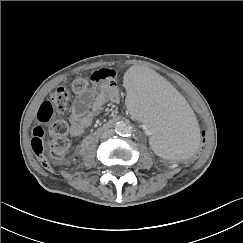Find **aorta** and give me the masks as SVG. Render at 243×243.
<instances>
[{
  "mask_svg": "<svg viewBox=\"0 0 243 243\" xmlns=\"http://www.w3.org/2000/svg\"><path fill=\"white\" fill-rule=\"evenodd\" d=\"M115 130L117 133L124 136L130 135L132 133V127L123 121H119L116 123Z\"/></svg>",
  "mask_w": 243,
  "mask_h": 243,
  "instance_id": "1",
  "label": "aorta"
}]
</instances>
